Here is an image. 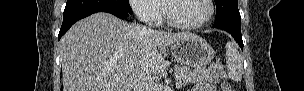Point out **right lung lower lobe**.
I'll use <instances>...</instances> for the list:
<instances>
[{"label": "right lung lower lobe", "instance_id": "obj_1", "mask_svg": "<svg viewBox=\"0 0 304 91\" xmlns=\"http://www.w3.org/2000/svg\"><path fill=\"white\" fill-rule=\"evenodd\" d=\"M97 12H108L121 19H127L131 15L125 10L115 6L113 0H67L58 39H60L75 22Z\"/></svg>", "mask_w": 304, "mask_h": 91}]
</instances>
